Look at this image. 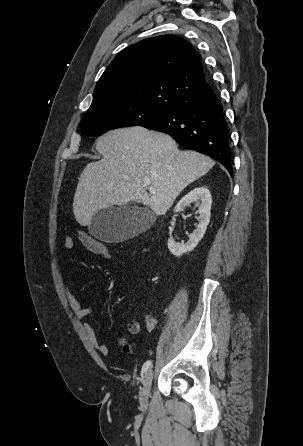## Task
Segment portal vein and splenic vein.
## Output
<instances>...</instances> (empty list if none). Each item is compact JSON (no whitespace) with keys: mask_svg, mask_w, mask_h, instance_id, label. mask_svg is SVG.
Instances as JSON below:
<instances>
[{"mask_svg":"<svg viewBox=\"0 0 303 446\" xmlns=\"http://www.w3.org/2000/svg\"><path fill=\"white\" fill-rule=\"evenodd\" d=\"M144 184H145L146 186H149V191H150V193H152V194H155V193H156L155 189L150 185V181H149L148 179H145V180H144Z\"/></svg>","mask_w":303,"mask_h":446,"instance_id":"obj_1","label":"portal vein and splenic vein"}]
</instances>
